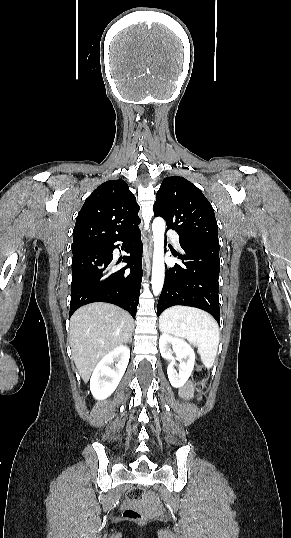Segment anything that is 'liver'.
Wrapping results in <instances>:
<instances>
[{"mask_svg":"<svg viewBox=\"0 0 291 538\" xmlns=\"http://www.w3.org/2000/svg\"><path fill=\"white\" fill-rule=\"evenodd\" d=\"M133 330L132 316L112 304L92 303L73 314L69 341L72 358L84 382L107 353L128 342Z\"/></svg>","mask_w":291,"mask_h":538,"instance_id":"obj_1","label":"liver"}]
</instances>
